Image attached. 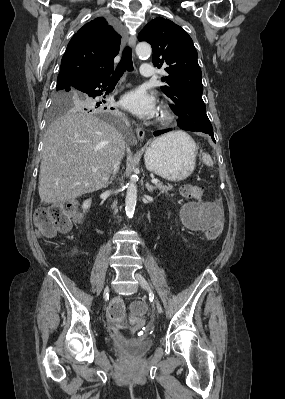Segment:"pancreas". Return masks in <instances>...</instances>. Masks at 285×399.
<instances>
[{"instance_id": "obj_1", "label": "pancreas", "mask_w": 285, "mask_h": 399, "mask_svg": "<svg viewBox=\"0 0 285 399\" xmlns=\"http://www.w3.org/2000/svg\"><path fill=\"white\" fill-rule=\"evenodd\" d=\"M155 189L160 190L161 193H166V194H168V192H169L170 190H172V186H171V185L165 186V185H163L162 183H157V184L155 185Z\"/></svg>"}]
</instances>
